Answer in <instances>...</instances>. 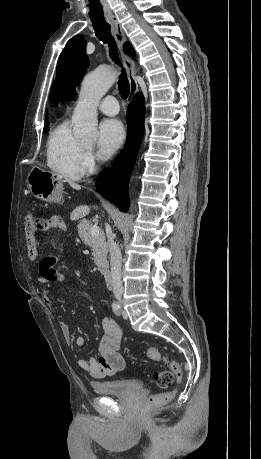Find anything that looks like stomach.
<instances>
[{
	"label": "stomach",
	"instance_id": "stomach-1",
	"mask_svg": "<svg viewBox=\"0 0 261 459\" xmlns=\"http://www.w3.org/2000/svg\"><path fill=\"white\" fill-rule=\"evenodd\" d=\"M27 184L33 196L42 201L58 203L63 198V179L53 172L33 167L28 175Z\"/></svg>",
	"mask_w": 261,
	"mask_h": 459
}]
</instances>
